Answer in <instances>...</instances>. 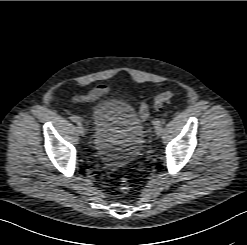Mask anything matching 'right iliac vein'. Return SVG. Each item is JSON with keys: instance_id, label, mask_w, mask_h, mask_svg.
<instances>
[{"instance_id": "63e3f726", "label": "right iliac vein", "mask_w": 247, "mask_h": 245, "mask_svg": "<svg viewBox=\"0 0 247 245\" xmlns=\"http://www.w3.org/2000/svg\"><path fill=\"white\" fill-rule=\"evenodd\" d=\"M77 131H78V133H79L81 136H84V135H85V129H84V127L82 126V124H80V123L77 124Z\"/></svg>"}]
</instances>
